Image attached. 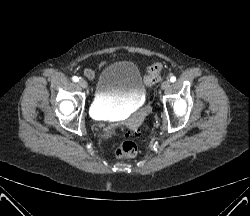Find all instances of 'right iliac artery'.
Here are the masks:
<instances>
[{"label": "right iliac artery", "mask_w": 250, "mask_h": 216, "mask_svg": "<svg viewBox=\"0 0 250 216\" xmlns=\"http://www.w3.org/2000/svg\"><path fill=\"white\" fill-rule=\"evenodd\" d=\"M72 80H73L74 82H78V81H79V78H78L77 76H73V77H72Z\"/></svg>", "instance_id": "1"}]
</instances>
